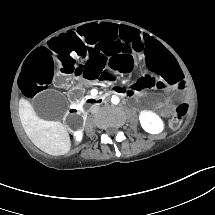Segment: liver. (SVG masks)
<instances>
[{"label":"liver","mask_w":215,"mask_h":215,"mask_svg":"<svg viewBox=\"0 0 215 215\" xmlns=\"http://www.w3.org/2000/svg\"><path fill=\"white\" fill-rule=\"evenodd\" d=\"M19 116L25 133L39 149L52 155H63L70 150L69 133L61 122L40 119L24 99L19 102Z\"/></svg>","instance_id":"6515ba94"}]
</instances>
